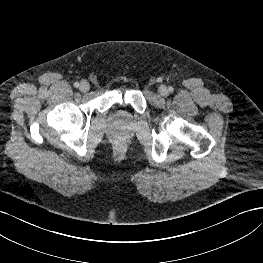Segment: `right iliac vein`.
<instances>
[{"mask_svg":"<svg viewBox=\"0 0 263 263\" xmlns=\"http://www.w3.org/2000/svg\"><path fill=\"white\" fill-rule=\"evenodd\" d=\"M89 88H90V85H89V83H88L87 81H85V80H83V81L81 82L80 87H79V89H80L81 92H87V91L89 90Z\"/></svg>","mask_w":263,"mask_h":263,"instance_id":"right-iliac-vein-1","label":"right iliac vein"}]
</instances>
